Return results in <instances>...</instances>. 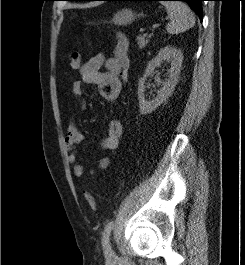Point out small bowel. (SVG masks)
I'll use <instances>...</instances> for the list:
<instances>
[{"mask_svg": "<svg viewBox=\"0 0 245 265\" xmlns=\"http://www.w3.org/2000/svg\"><path fill=\"white\" fill-rule=\"evenodd\" d=\"M105 71H101L102 67ZM96 85L101 96L110 103H116L122 89L120 77V67L117 60L106 58L104 54L99 53L90 58L80 69V79L72 85V93L79 98L84 97V85ZM85 108L82 101L81 109ZM123 134V125L120 120H112L108 126L107 136L100 141V148L114 152L118 149ZM84 140L82 132L74 121H71L67 127L65 142L68 148V161L73 165L74 175L81 178L84 169L77 162L76 146ZM109 159L103 158L99 162V168L104 169L108 166Z\"/></svg>", "mask_w": 245, "mask_h": 265, "instance_id": "obj_1", "label": "small bowel"}]
</instances>
